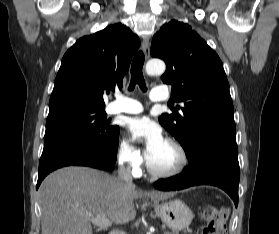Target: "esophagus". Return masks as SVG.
Segmentation results:
<instances>
[{
    "label": "esophagus",
    "mask_w": 279,
    "mask_h": 234,
    "mask_svg": "<svg viewBox=\"0 0 279 234\" xmlns=\"http://www.w3.org/2000/svg\"><path fill=\"white\" fill-rule=\"evenodd\" d=\"M142 48H143V51H144V54H145L146 58H148L149 55H150V42H149L148 38L143 39Z\"/></svg>",
    "instance_id": "obj_1"
}]
</instances>
